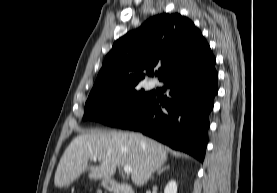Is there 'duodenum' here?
<instances>
[{"label":"duodenum","mask_w":277,"mask_h":193,"mask_svg":"<svg viewBox=\"0 0 277 193\" xmlns=\"http://www.w3.org/2000/svg\"><path fill=\"white\" fill-rule=\"evenodd\" d=\"M107 187L113 193H135L130 185L116 181H108Z\"/></svg>","instance_id":"duodenum-1"}]
</instances>
